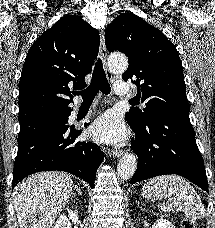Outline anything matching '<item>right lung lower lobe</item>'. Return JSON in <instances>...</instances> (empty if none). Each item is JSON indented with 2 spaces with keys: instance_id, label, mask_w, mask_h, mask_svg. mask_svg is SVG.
I'll list each match as a JSON object with an SVG mask.
<instances>
[{
  "instance_id": "1",
  "label": "right lung lower lobe",
  "mask_w": 215,
  "mask_h": 228,
  "mask_svg": "<svg viewBox=\"0 0 215 228\" xmlns=\"http://www.w3.org/2000/svg\"><path fill=\"white\" fill-rule=\"evenodd\" d=\"M80 134L81 130L66 124L48 127L19 139L12 189L30 174L53 170L71 173L93 188L97 169L104 157L97 144L76 142Z\"/></svg>"
}]
</instances>
